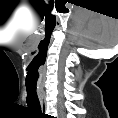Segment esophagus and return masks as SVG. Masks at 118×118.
<instances>
[{
  "mask_svg": "<svg viewBox=\"0 0 118 118\" xmlns=\"http://www.w3.org/2000/svg\"><path fill=\"white\" fill-rule=\"evenodd\" d=\"M38 97H39V101H40V105H41V110H42V112H45L47 109V104H46V100H45L46 97H45L44 91L39 90Z\"/></svg>",
  "mask_w": 118,
  "mask_h": 118,
  "instance_id": "obj_1",
  "label": "esophagus"
}]
</instances>
